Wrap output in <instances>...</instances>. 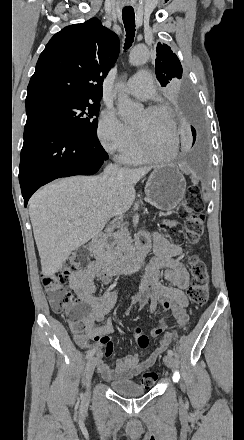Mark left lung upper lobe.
Wrapping results in <instances>:
<instances>
[{"mask_svg": "<svg viewBox=\"0 0 244 440\" xmlns=\"http://www.w3.org/2000/svg\"><path fill=\"white\" fill-rule=\"evenodd\" d=\"M155 74L161 86H166L182 78V66L171 48L162 43L157 44Z\"/></svg>", "mask_w": 244, "mask_h": 440, "instance_id": "left-lung-upper-lobe-1", "label": "left lung upper lobe"}]
</instances>
